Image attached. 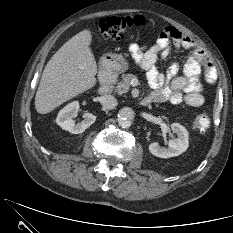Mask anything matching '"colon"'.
Returning <instances> with one entry per match:
<instances>
[{
    "mask_svg": "<svg viewBox=\"0 0 233 233\" xmlns=\"http://www.w3.org/2000/svg\"><path fill=\"white\" fill-rule=\"evenodd\" d=\"M145 20L141 16H111L103 18L96 23L99 33L105 37H117L134 27L142 26ZM211 123L208 113H200L193 120V128L198 132H205Z\"/></svg>",
    "mask_w": 233,
    "mask_h": 233,
    "instance_id": "1",
    "label": "colon"
}]
</instances>
